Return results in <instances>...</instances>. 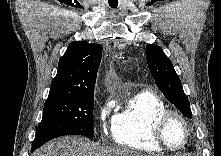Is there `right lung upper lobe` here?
<instances>
[{
	"instance_id": "right-lung-upper-lobe-1",
	"label": "right lung upper lobe",
	"mask_w": 221,
	"mask_h": 156,
	"mask_svg": "<svg viewBox=\"0 0 221 156\" xmlns=\"http://www.w3.org/2000/svg\"><path fill=\"white\" fill-rule=\"evenodd\" d=\"M102 55L99 44L74 41L60 58L47 100L64 99L94 92Z\"/></svg>"
}]
</instances>
